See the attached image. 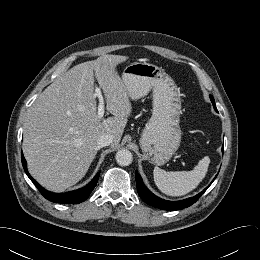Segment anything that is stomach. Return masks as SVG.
<instances>
[{
	"label": "stomach",
	"instance_id": "0dacf381",
	"mask_svg": "<svg viewBox=\"0 0 260 260\" xmlns=\"http://www.w3.org/2000/svg\"><path fill=\"white\" fill-rule=\"evenodd\" d=\"M122 82L133 100L152 90V116L142 132L140 146L150 163L165 164L181 142L179 88L164 69L147 62L128 65L123 71Z\"/></svg>",
	"mask_w": 260,
	"mask_h": 260
}]
</instances>
